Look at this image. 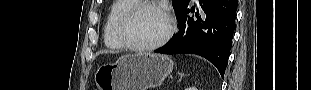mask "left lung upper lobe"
<instances>
[{
	"mask_svg": "<svg viewBox=\"0 0 311 90\" xmlns=\"http://www.w3.org/2000/svg\"><path fill=\"white\" fill-rule=\"evenodd\" d=\"M189 0H173V8L175 11L176 16L181 13V11L188 5Z\"/></svg>",
	"mask_w": 311,
	"mask_h": 90,
	"instance_id": "obj_1",
	"label": "left lung upper lobe"
}]
</instances>
